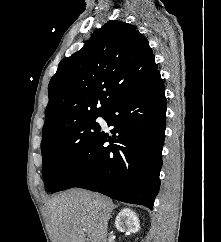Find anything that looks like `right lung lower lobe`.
Masks as SVG:
<instances>
[{
  "label": "right lung lower lobe",
  "mask_w": 221,
  "mask_h": 242,
  "mask_svg": "<svg viewBox=\"0 0 221 242\" xmlns=\"http://www.w3.org/2000/svg\"><path fill=\"white\" fill-rule=\"evenodd\" d=\"M102 116L114 127L112 136L100 131L51 192L79 187L152 209L160 187L166 120L159 71L117 99Z\"/></svg>",
  "instance_id": "obj_1"
}]
</instances>
